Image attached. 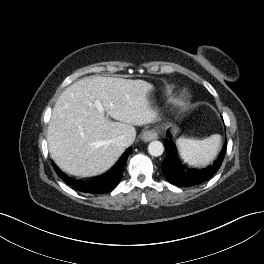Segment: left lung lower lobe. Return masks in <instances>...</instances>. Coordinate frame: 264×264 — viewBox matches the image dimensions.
<instances>
[{"instance_id":"obj_1","label":"left lung lower lobe","mask_w":264,"mask_h":264,"mask_svg":"<svg viewBox=\"0 0 264 264\" xmlns=\"http://www.w3.org/2000/svg\"><path fill=\"white\" fill-rule=\"evenodd\" d=\"M167 136L169 139L164 141L167 157L161 167L170 183L177 186H195L208 180L221 167L227 145L212 165L203 169H194L182 164L171 135L167 134Z\"/></svg>"}]
</instances>
